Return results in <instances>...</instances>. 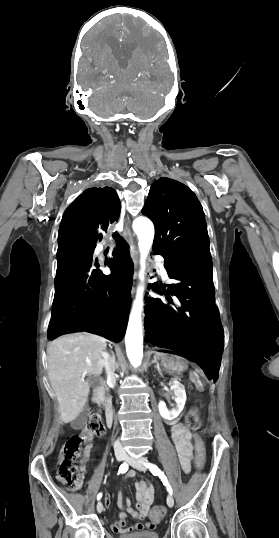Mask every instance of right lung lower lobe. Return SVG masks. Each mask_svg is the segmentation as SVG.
<instances>
[{
	"label": "right lung lower lobe",
	"mask_w": 279,
	"mask_h": 538,
	"mask_svg": "<svg viewBox=\"0 0 279 538\" xmlns=\"http://www.w3.org/2000/svg\"><path fill=\"white\" fill-rule=\"evenodd\" d=\"M121 203L113 188L86 189L66 209L58 231L57 272L48 338L86 331L118 340L125 335L133 262L118 232L116 249L104 275L92 263L97 241L111 235ZM100 334V333H98ZM102 334V335H104Z\"/></svg>",
	"instance_id": "98d812e1"
}]
</instances>
